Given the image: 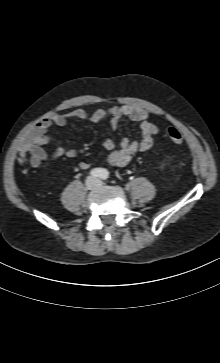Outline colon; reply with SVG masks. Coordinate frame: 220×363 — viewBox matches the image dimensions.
Returning a JSON list of instances; mask_svg holds the SVG:
<instances>
[{"instance_id":"5ec220e1","label":"colon","mask_w":220,"mask_h":363,"mask_svg":"<svg viewBox=\"0 0 220 363\" xmlns=\"http://www.w3.org/2000/svg\"><path fill=\"white\" fill-rule=\"evenodd\" d=\"M167 137L174 144H180L184 141L182 133L175 128H169L167 130Z\"/></svg>"}]
</instances>
